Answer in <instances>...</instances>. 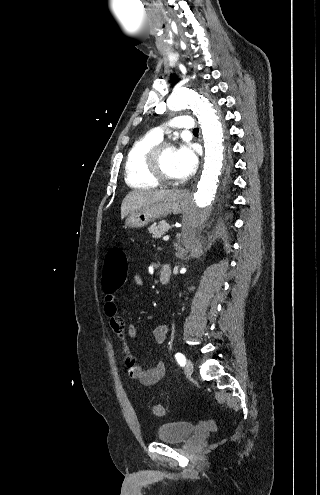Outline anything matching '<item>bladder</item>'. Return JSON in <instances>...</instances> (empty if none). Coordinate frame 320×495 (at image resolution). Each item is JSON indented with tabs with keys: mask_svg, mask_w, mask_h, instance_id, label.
<instances>
[{
	"mask_svg": "<svg viewBox=\"0 0 320 495\" xmlns=\"http://www.w3.org/2000/svg\"><path fill=\"white\" fill-rule=\"evenodd\" d=\"M194 430L195 425L192 422H167L158 427L156 438L164 443H180L189 438Z\"/></svg>",
	"mask_w": 320,
	"mask_h": 495,
	"instance_id": "bladder-1",
	"label": "bladder"
}]
</instances>
